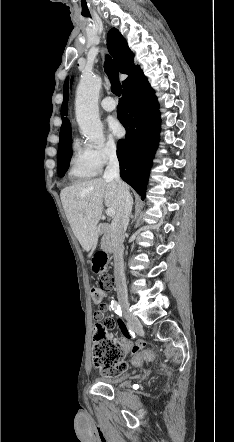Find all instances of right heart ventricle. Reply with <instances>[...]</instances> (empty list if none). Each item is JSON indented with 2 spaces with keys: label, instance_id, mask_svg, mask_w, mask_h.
Masks as SVG:
<instances>
[{
  "label": "right heart ventricle",
  "instance_id": "right-heart-ventricle-1",
  "mask_svg": "<svg viewBox=\"0 0 234 442\" xmlns=\"http://www.w3.org/2000/svg\"><path fill=\"white\" fill-rule=\"evenodd\" d=\"M98 171L99 168L92 155V148L75 140L69 160V177L73 180H87L95 177Z\"/></svg>",
  "mask_w": 234,
  "mask_h": 442
}]
</instances>
